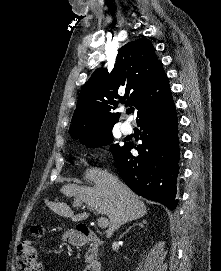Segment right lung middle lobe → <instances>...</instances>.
I'll list each match as a JSON object with an SVG mask.
<instances>
[{"label":"right lung middle lobe","mask_w":221,"mask_h":271,"mask_svg":"<svg viewBox=\"0 0 221 271\" xmlns=\"http://www.w3.org/2000/svg\"><path fill=\"white\" fill-rule=\"evenodd\" d=\"M75 139H79L80 142L82 144H85L87 147H100L108 145L113 142L112 129L99 133L84 135ZM122 148L123 147H120L119 144L111 145V151L113 153V156L116 157L118 153L122 150Z\"/></svg>","instance_id":"dd1d6c3e"}]
</instances>
